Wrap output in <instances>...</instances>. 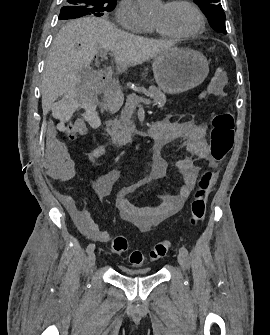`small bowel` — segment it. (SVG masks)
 I'll list each match as a JSON object with an SVG mask.
<instances>
[{"label": "small bowel", "mask_w": 270, "mask_h": 335, "mask_svg": "<svg viewBox=\"0 0 270 335\" xmlns=\"http://www.w3.org/2000/svg\"><path fill=\"white\" fill-rule=\"evenodd\" d=\"M76 122L69 127H63V121H46L45 134H74ZM159 134L156 138L153 151V169L150 178L153 180L163 179L168 172L169 163L163 157L162 150L172 142L179 141L188 153V156L179 159L174 168L182 179V185L176 194L168 195L159 204L136 206L131 204L127 195L135 190L134 186L122 188L115 200L116 208L124 222L136 226L140 231L146 232L153 225L177 214L189 195L193 191L197 176L198 166L193 161V156L201 160L209 161L208 146L205 141L207 125L205 123L194 124L191 122L171 121L162 119L157 122ZM71 138V135H70ZM47 144L46 151L50 158H40V165H45L49 171L50 178H73L71 169H79V162H73L69 158L67 151L71 150L70 144L57 145L59 142L55 135H45ZM106 153L104 146L94 148L88 154L90 160L102 157ZM121 176L118 168H113L105 172L96 170L94 173V190L100 201L105 200L112 192L115 184ZM70 214L76 222L79 230L88 238L105 243L110 239L108 231L102 229L91 217L87 205L82 209L76 207L75 200L70 196H64Z\"/></svg>", "instance_id": "small-bowel-1"}]
</instances>
